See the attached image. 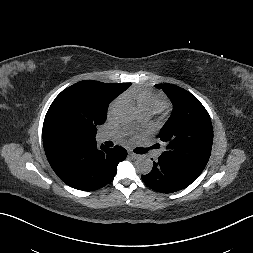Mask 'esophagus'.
Returning a JSON list of instances; mask_svg holds the SVG:
<instances>
[{
	"instance_id": "obj_1",
	"label": "esophagus",
	"mask_w": 253,
	"mask_h": 253,
	"mask_svg": "<svg viewBox=\"0 0 253 253\" xmlns=\"http://www.w3.org/2000/svg\"><path fill=\"white\" fill-rule=\"evenodd\" d=\"M129 156L132 158V159H138L140 156L136 153H133L131 151L128 152Z\"/></svg>"
}]
</instances>
